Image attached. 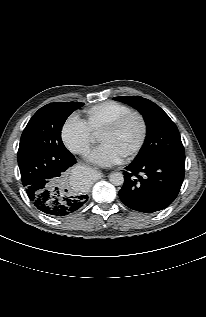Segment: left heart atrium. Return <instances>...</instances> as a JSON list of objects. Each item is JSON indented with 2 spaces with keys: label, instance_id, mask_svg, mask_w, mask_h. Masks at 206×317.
I'll list each match as a JSON object with an SVG mask.
<instances>
[{
  "label": "left heart atrium",
  "instance_id": "39dd6f15",
  "mask_svg": "<svg viewBox=\"0 0 206 317\" xmlns=\"http://www.w3.org/2000/svg\"><path fill=\"white\" fill-rule=\"evenodd\" d=\"M125 155L119 152L112 145L103 143L96 147L89 155L88 159L96 164L110 166L120 163Z\"/></svg>",
  "mask_w": 206,
  "mask_h": 317
}]
</instances>
